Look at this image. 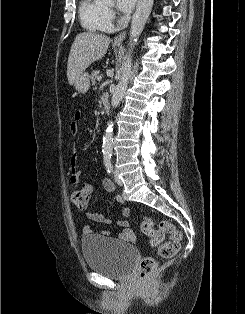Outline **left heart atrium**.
I'll use <instances>...</instances> for the list:
<instances>
[{"mask_svg":"<svg viewBox=\"0 0 245 314\" xmlns=\"http://www.w3.org/2000/svg\"><path fill=\"white\" fill-rule=\"evenodd\" d=\"M135 2L136 0H116V6L121 12L127 13L133 9Z\"/></svg>","mask_w":245,"mask_h":314,"instance_id":"obj_1","label":"left heart atrium"}]
</instances>
